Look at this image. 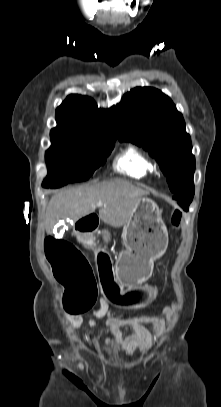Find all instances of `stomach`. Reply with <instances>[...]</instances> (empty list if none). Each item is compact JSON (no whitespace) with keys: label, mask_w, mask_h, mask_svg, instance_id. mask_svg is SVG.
Instances as JSON below:
<instances>
[{"label":"stomach","mask_w":221,"mask_h":407,"mask_svg":"<svg viewBox=\"0 0 221 407\" xmlns=\"http://www.w3.org/2000/svg\"><path fill=\"white\" fill-rule=\"evenodd\" d=\"M125 247L116 259L115 273L125 286L143 283L152 274L154 261L168 246V232L162 211L149 198H141L122 234Z\"/></svg>","instance_id":"stomach-1"}]
</instances>
